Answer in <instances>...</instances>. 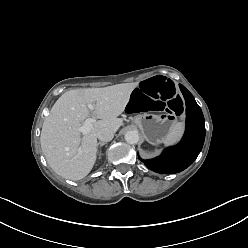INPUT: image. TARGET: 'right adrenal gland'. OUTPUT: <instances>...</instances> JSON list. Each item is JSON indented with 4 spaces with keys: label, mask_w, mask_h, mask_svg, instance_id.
Here are the masks:
<instances>
[{
    "label": "right adrenal gland",
    "mask_w": 248,
    "mask_h": 248,
    "mask_svg": "<svg viewBox=\"0 0 248 248\" xmlns=\"http://www.w3.org/2000/svg\"><path fill=\"white\" fill-rule=\"evenodd\" d=\"M106 144H107L106 142H99L98 143V146H99V148H101L102 146H104ZM99 158H101V154H100V157Z\"/></svg>",
    "instance_id": "2a0ac1e0"
}]
</instances>
